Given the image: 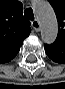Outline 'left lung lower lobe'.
<instances>
[{
    "label": "left lung lower lobe",
    "instance_id": "0a47b994",
    "mask_svg": "<svg viewBox=\"0 0 65 89\" xmlns=\"http://www.w3.org/2000/svg\"><path fill=\"white\" fill-rule=\"evenodd\" d=\"M47 56L54 62L65 64V42L55 40L51 45H44Z\"/></svg>",
    "mask_w": 65,
    "mask_h": 89
}]
</instances>
